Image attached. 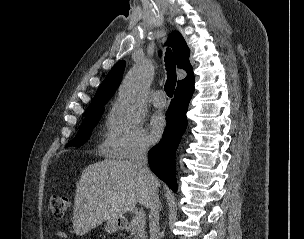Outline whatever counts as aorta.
Listing matches in <instances>:
<instances>
[{"label": "aorta", "instance_id": "762f6f07", "mask_svg": "<svg viewBox=\"0 0 304 239\" xmlns=\"http://www.w3.org/2000/svg\"><path fill=\"white\" fill-rule=\"evenodd\" d=\"M152 69L148 64L138 66L125 78L119 90L121 105L134 117L145 113Z\"/></svg>", "mask_w": 304, "mask_h": 239}]
</instances>
